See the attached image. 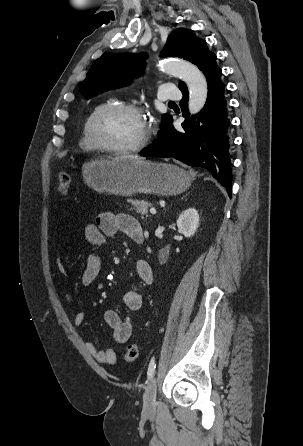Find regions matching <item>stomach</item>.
Masks as SVG:
<instances>
[{"label": "stomach", "instance_id": "1", "mask_svg": "<svg viewBox=\"0 0 303 446\" xmlns=\"http://www.w3.org/2000/svg\"><path fill=\"white\" fill-rule=\"evenodd\" d=\"M82 175L93 190L121 196L176 195L191 184L189 173L175 165L129 158L87 162L82 167Z\"/></svg>", "mask_w": 303, "mask_h": 446}]
</instances>
